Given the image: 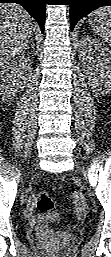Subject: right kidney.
Returning <instances> with one entry per match:
<instances>
[{"label":"right kidney","mask_w":111,"mask_h":257,"mask_svg":"<svg viewBox=\"0 0 111 257\" xmlns=\"http://www.w3.org/2000/svg\"><path fill=\"white\" fill-rule=\"evenodd\" d=\"M32 74V62L24 55L16 57L1 70V95L5 100L11 99L25 87Z\"/></svg>","instance_id":"ca27d5eb"}]
</instances>
